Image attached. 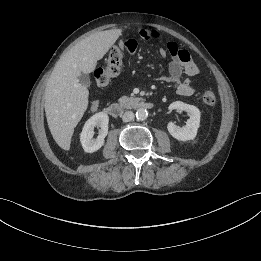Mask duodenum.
Returning a JSON list of instances; mask_svg holds the SVG:
<instances>
[{
	"instance_id": "1",
	"label": "duodenum",
	"mask_w": 261,
	"mask_h": 261,
	"mask_svg": "<svg viewBox=\"0 0 261 261\" xmlns=\"http://www.w3.org/2000/svg\"><path fill=\"white\" fill-rule=\"evenodd\" d=\"M152 103L143 100L133 99L128 101L127 103H113L109 105L105 112L113 118H118L125 110L129 108H145L150 109L152 108Z\"/></svg>"
}]
</instances>
